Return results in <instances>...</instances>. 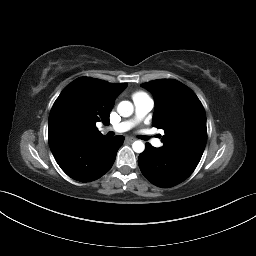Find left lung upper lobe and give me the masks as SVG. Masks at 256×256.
I'll return each mask as SVG.
<instances>
[{
    "label": "left lung upper lobe",
    "mask_w": 256,
    "mask_h": 256,
    "mask_svg": "<svg viewBox=\"0 0 256 256\" xmlns=\"http://www.w3.org/2000/svg\"><path fill=\"white\" fill-rule=\"evenodd\" d=\"M141 86L155 98L152 125L165 131L159 150L196 167L207 141L206 114L198 97L172 79L154 80Z\"/></svg>",
    "instance_id": "obj_1"
}]
</instances>
